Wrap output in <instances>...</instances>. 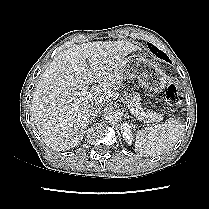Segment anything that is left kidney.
<instances>
[{"label": "left kidney", "instance_id": "obj_1", "mask_svg": "<svg viewBox=\"0 0 209 209\" xmlns=\"http://www.w3.org/2000/svg\"><path fill=\"white\" fill-rule=\"evenodd\" d=\"M120 128H121V134L125 139V141L131 144L133 142V137H134L132 126L129 124V122H124L123 124H121Z\"/></svg>", "mask_w": 209, "mask_h": 209}]
</instances>
